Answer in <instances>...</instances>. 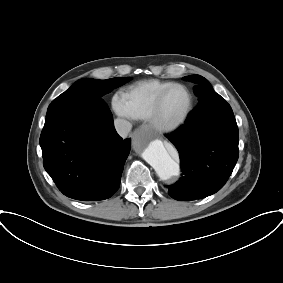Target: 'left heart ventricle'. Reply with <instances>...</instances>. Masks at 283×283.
Returning <instances> with one entry per match:
<instances>
[{
  "instance_id": "obj_1",
  "label": "left heart ventricle",
  "mask_w": 283,
  "mask_h": 283,
  "mask_svg": "<svg viewBox=\"0 0 283 283\" xmlns=\"http://www.w3.org/2000/svg\"><path fill=\"white\" fill-rule=\"evenodd\" d=\"M189 96L184 89L176 88L165 97L160 117L163 122L171 123L178 120L187 109Z\"/></svg>"
}]
</instances>
